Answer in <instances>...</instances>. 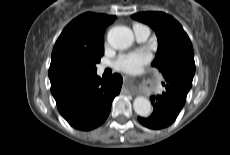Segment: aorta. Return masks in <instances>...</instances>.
<instances>
[{"instance_id":"aorta-1","label":"aorta","mask_w":230,"mask_h":155,"mask_svg":"<svg viewBox=\"0 0 230 155\" xmlns=\"http://www.w3.org/2000/svg\"><path fill=\"white\" fill-rule=\"evenodd\" d=\"M107 41L115 49H126L132 45L134 35L131 29L126 26H114L108 31ZM133 108L142 117L149 116L152 111L150 101L143 96H138L134 99Z\"/></svg>"}]
</instances>
